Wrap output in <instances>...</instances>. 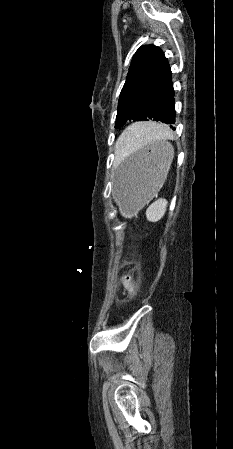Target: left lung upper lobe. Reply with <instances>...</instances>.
<instances>
[{
	"instance_id": "5c2ea615",
	"label": "left lung upper lobe",
	"mask_w": 233,
	"mask_h": 449,
	"mask_svg": "<svg viewBox=\"0 0 233 449\" xmlns=\"http://www.w3.org/2000/svg\"><path fill=\"white\" fill-rule=\"evenodd\" d=\"M171 69L163 51L154 45L141 46L133 56L122 88L115 128L127 121L147 120V110L171 81Z\"/></svg>"
}]
</instances>
